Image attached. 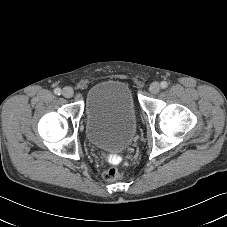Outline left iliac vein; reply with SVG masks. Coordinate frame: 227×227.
I'll use <instances>...</instances> for the list:
<instances>
[{
    "mask_svg": "<svg viewBox=\"0 0 227 227\" xmlns=\"http://www.w3.org/2000/svg\"><path fill=\"white\" fill-rule=\"evenodd\" d=\"M160 89H161V87H160V84H159L158 82H153V83L150 85V87H149V91H150V93H152V94H157V93H159V92H160Z\"/></svg>",
    "mask_w": 227,
    "mask_h": 227,
    "instance_id": "obj_1",
    "label": "left iliac vein"
}]
</instances>
